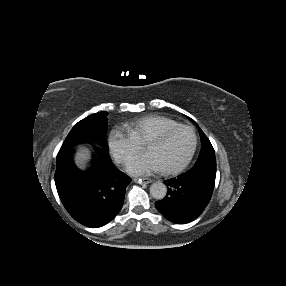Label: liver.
<instances>
[{"label":"liver","mask_w":286,"mask_h":286,"mask_svg":"<svg viewBox=\"0 0 286 286\" xmlns=\"http://www.w3.org/2000/svg\"><path fill=\"white\" fill-rule=\"evenodd\" d=\"M88 154L89 152L86 149H80L77 153V163L80 167H84V163L88 159Z\"/></svg>","instance_id":"liver-1"}]
</instances>
